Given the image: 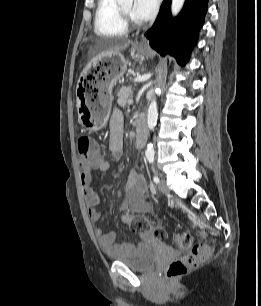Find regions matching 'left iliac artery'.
I'll use <instances>...</instances> for the list:
<instances>
[{"instance_id":"44dca946","label":"left iliac artery","mask_w":261,"mask_h":306,"mask_svg":"<svg viewBox=\"0 0 261 306\" xmlns=\"http://www.w3.org/2000/svg\"><path fill=\"white\" fill-rule=\"evenodd\" d=\"M148 160H149L150 163H153L154 158H148ZM153 181H154L155 183H159V182H160L159 177L156 176V175L153 176Z\"/></svg>"}]
</instances>
